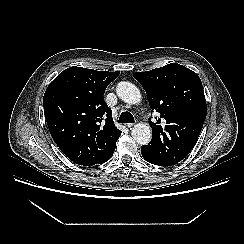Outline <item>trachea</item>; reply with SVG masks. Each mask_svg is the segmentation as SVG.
<instances>
[{"label": "trachea", "mask_w": 244, "mask_h": 244, "mask_svg": "<svg viewBox=\"0 0 244 244\" xmlns=\"http://www.w3.org/2000/svg\"><path fill=\"white\" fill-rule=\"evenodd\" d=\"M119 123H134V117L130 112L124 111L121 113L119 119Z\"/></svg>", "instance_id": "obj_1"}]
</instances>
